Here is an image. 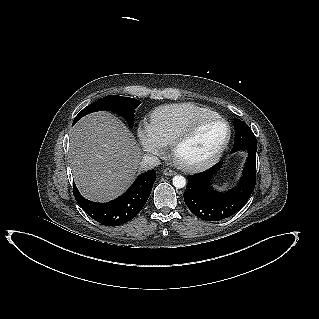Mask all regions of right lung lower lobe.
I'll return each instance as SVG.
<instances>
[{"instance_id":"98d812e1","label":"right lung lower lobe","mask_w":319,"mask_h":319,"mask_svg":"<svg viewBox=\"0 0 319 319\" xmlns=\"http://www.w3.org/2000/svg\"><path fill=\"white\" fill-rule=\"evenodd\" d=\"M155 180V170L143 173L124 194L107 203L86 200L75 185L73 193L80 207L91 218L106 226H119L132 220L142 210Z\"/></svg>"}]
</instances>
